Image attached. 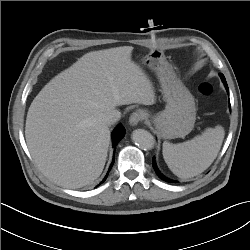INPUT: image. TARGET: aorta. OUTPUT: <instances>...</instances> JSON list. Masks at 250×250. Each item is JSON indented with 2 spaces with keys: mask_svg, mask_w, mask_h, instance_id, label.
Instances as JSON below:
<instances>
[{
  "mask_svg": "<svg viewBox=\"0 0 250 250\" xmlns=\"http://www.w3.org/2000/svg\"><path fill=\"white\" fill-rule=\"evenodd\" d=\"M133 142L141 149L149 150L154 147L155 140L153 135L144 129H136L132 133Z\"/></svg>",
  "mask_w": 250,
  "mask_h": 250,
  "instance_id": "762f6f07",
  "label": "aorta"
}]
</instances>
